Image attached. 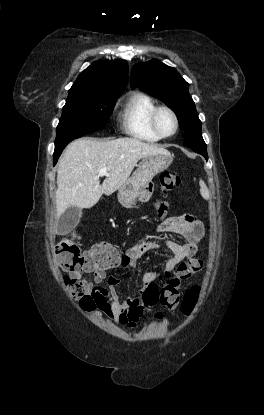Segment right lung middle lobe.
Returning <instances> with one entry per match:
<instances>
[{
	"label": "right lung middle lobe",
	"instance_id": "1",
	"mask_svg": "<svg viewBox=\"0 0 264 415\" xmlns=\"http://www.w3.org/2000/svg\"><path fill=\"white\" fill-rule=\"evenodd\" d=\"M119 96L68 97L56 128L55 150L85 134L104 129Z\"/></svg>",
	"mask_w": 264,
	"mask_h": 415
}]
</instances>
